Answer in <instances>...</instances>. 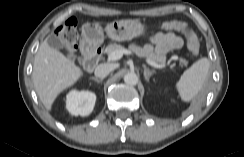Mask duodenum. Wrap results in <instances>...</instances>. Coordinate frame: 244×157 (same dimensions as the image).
Returning a JSON list of instances; mask_svg holds the SVG:
<instances>
[{
    "label": "duodenum",
    "instance_id": "1",
    "mask_svg": "<svg viewBox=\"0 0 244 157\" xmlns=\"http://www.w3.org/2000/svg\"><path fill=\"white\" fill-rule=\"evenodd\" d=\"M84 64L88 71H93L101 57V50L96 47H91L88 44L83 45Z\"/></svg>",
    "mask_w": 244,
    "mask_h": 157
}]
</instances>
